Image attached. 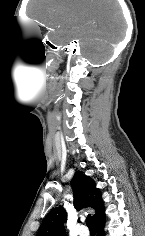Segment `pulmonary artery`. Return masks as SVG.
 Here are the masks:
<instances>
[{
    "label": "pulmonary artery",
    "mask_w": 145,
    "mask_h": 236,
    "mask_svg": "<svg viewBox=\"0 0 145 236\" xmlns=\"http://www.w3.org/2000/svg\"><path fill=\"white\" fill-rule=\"evenodd\" d=\"M79 236H89V230L86 226L82 225L78 229Z\"/></svg>",
    "instance_id": "1"
}]
</instances>
